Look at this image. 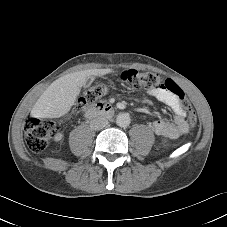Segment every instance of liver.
<instances>
[{"label": "liver", "mask_w": 227, "mask_h": 227, "mask_svg": "<svg viewBox=\"0 0 227 227\" xmlns=\"http://www.w3.org/2000/svg\"><path fill=\"white\" fill-rule=\"evenodd\" d=\"M112 69H88L58 78L42 93L31 114L38 118H59L74 105L81 87L92 76H104Z\"/></svg>", "instance_id": "liver-1"}]
</instances>
